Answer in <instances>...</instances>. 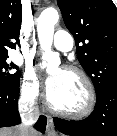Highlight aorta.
Returning <instances> with one entry per match:
<instances>
[{
    "instance_id": "aorta-1",
    "label": "aorta",
    "mask_w": 117,
    "mask_h": 136,
    "mask_svg": "<svg viewBox=\"0 0 117 136\" xmlns=\"http://www.w3.org/2000/svg\"><path fill=\"white\" fill-rule=\"evenodd\" d=\"M58 20L59 14L54 8L44 10L37 19V33L43 50L42 67H47L49 70L57 68L60 64L59 55L51 50L54 26Z\"/></svg>"
}]
</instances>
